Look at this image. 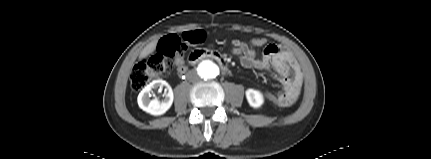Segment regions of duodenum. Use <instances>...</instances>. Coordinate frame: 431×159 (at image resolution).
<instances>
[{
	"instance_id": "410a0bca",
	"label": "duodenum",
	"mask_w": 431,
	"mask_h": 159,
	"mask_svg": "<svg viewBox=\"0 0 431 159\" xmlns=\"http://www.w3.org/2000/svg\"><path fill=\"white\" fill-rule=\"evenodd\" d=\"M204 59L215 60V61H217L220 64V66L224 70L227 69V62H226V60L224 59V57L221 54H219L216 51L207 50V49H198V50L193 51L189 55V63L192 64V65L196 64L199 61L204 60Z\"/></svg>"
}]
</instances>
